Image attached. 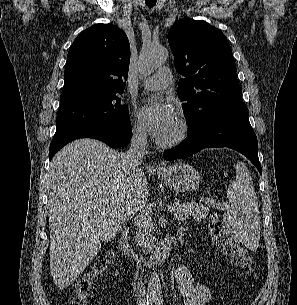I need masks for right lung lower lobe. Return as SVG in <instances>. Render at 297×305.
<instances>
[{
    "label": "right lung lower lobe",
    "instance_id": "obj_1",
    "mask_svg": "<svg viewBox=\"0 0 297 305\" xmlns=\"http://www.w3.org/2000/svg\"><path fill=\"white\" fill-rule=\"evenodd\" d=\"M130 125V124H129ZM129 125H98L91 126L70 134L56 145H50L49 159L67 143L78 138H94L103 141L112 148L126 146L131 139L132 130Z\"/></svg>",
    "mask_w": 297,
    "mask_h": 305
}]
</instances>
